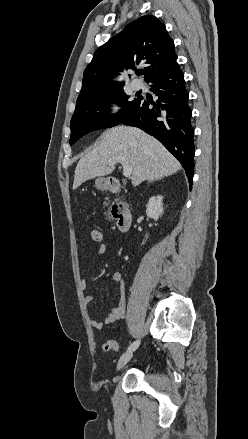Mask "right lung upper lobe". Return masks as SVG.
Returning a JSON list of instances; mask_svg holds the SVG:
<instances>
[{
  "instance_id": "obj_1",
  "label": "right lung upper lobe",
  "mask_w": 248,
  "mask_h": 439,
  "mask_svg": "<svg viewBox=\"0 0 248 439\" xmlns=\"http://www.w3.org/2000/svg\"><path fill=\"white\" fill-rule=\"evenodd\" d=\"M176 60L174 42L165 25L155 16H142L95 51L84 71L76 107L122 88L123 83H107V79L123 70L144 64L147 82L154 75L176 66Z\"/></svg>"
}]
</instances>
